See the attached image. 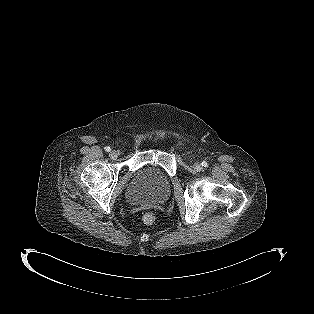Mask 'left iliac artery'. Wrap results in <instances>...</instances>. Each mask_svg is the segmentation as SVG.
I'll return each mask as SVG.
<instances>
[{
  "mask_svg": "<svg viewBox=\"0 0 314 314\" xmlns=\"http://www.w3.org/2000/svg\"><path fill=\"white\" fill-rule=\"evenodd\" d=\"M202 166L207 167L208 166L207 162L203 161Z\"/></svg>",
  "mask_w": 314,
  "mask_h": 314,
  "instance_id": "44dca946",
  "label": "left iliac artery"
}]
</instances>
